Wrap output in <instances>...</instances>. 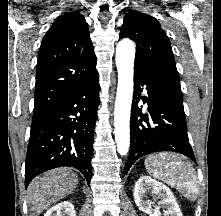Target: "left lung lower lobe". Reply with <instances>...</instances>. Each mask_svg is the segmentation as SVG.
Here are the masks:
<instances>
[{"mask_svg":"<svg viewBox=\"0 0 221 216\" xmlns=\"http://www.w3.org/2000/svg\"><path fill=\"white\" fill-rule=\"evenodd\" d=\"M143 86H146L147 90L143 102L148 104V114H143L142 108L137 106ZM134 89L130 123V157L124 173L127 174L138 158L153 152H178L196 162L188 140L185 113L173 103L168 90L160 80L135 64Z\"/></svg>","mask_w":221,"mask_h":216,"instance_id":"left-lung-lower-lobe-1","label":"left lung lower lobe"}]
</instances>
